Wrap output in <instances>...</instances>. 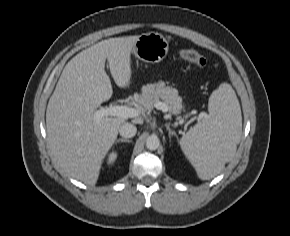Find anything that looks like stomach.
<instances>
[{"mask_svg": "<svg viewBox=\"0 0 290 236\" xmlns=\"http://www.w3.org/2000/svg\"><path fill=\"white\" fill-rule=\"evenodd\" d=\"M169 44L166 38L154 32L144 33L135 42L132 53L147 63H158L168 54Z\"/></svg>", "mask_w": 290, "mask_h": 236, "instance_id": "1", "label": "stomach"}]
</instances>
